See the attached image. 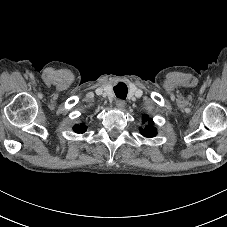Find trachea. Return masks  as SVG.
Returning a JSON list of instances; mask_svg holds the SVG:
<instances>
[{
	"label": "trachea",
	"mask_w": 227,
	"mask_h": 227,
	"mask_svg": "<svg viewBox=\"0 0 227 227\" xmlns=\"http://www.w3.org/2000/svg\"><path fill=\"white\" fill-rule=\"evenodd\" d=\"M114 92L117 98L125 99L127 96V86L124 83H119L114 87Z\"/></svg>",
	"instance_id": "obj_1"
}]
</instances>
